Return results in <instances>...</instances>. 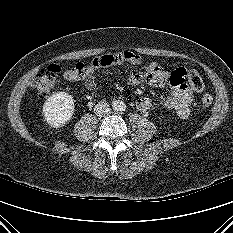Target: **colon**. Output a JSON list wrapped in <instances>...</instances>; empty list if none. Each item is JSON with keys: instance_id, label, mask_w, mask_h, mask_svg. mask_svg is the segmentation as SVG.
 Masks as SVG:
<instances>
[{"instance_id": "1", "label": "colon", "mask_w": 233, "mask_h": 233, "mask_svg": "<svg viewBox=\"0 0 233 233\" xmlns=\"http://www.w3.org/2000/svg\"><path fill=\"white\" fill-rule=\"evenodd\" d=\"M108 58L100 55L94 58L90 63H78L65 72V76L70 80H86L101 66L107 64ZM61 67L58 65H50L42 69L32 80V88L40 97L48 96L56 85L58 74ZM186 78L193 90L201 91L204 87L201 76L196 71H187ZM202 104L204 107H210L213 98L209 94L202 96Z\"/></svg>"}]
</instances>
